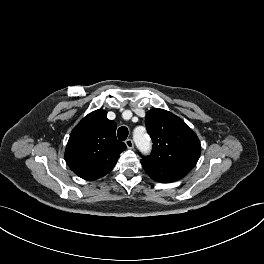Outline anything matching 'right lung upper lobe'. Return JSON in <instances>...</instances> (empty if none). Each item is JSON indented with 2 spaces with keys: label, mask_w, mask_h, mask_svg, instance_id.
<instances>
[{
  "label": "right lung upper lobe",
  "mask_w": 264,
  "mask_h": 264,
  "mask_svg": "<svg viewBox=\"0 0 264 264\" xmlns=\"http://www.w3.org/2000/svg\"><path fill=\"white\" fill-rule=\"evenodd\" d=\"M125 149L116 138V123L108 120L105 110H96L72 130L65 159L75 174L92 181L109 173Z\"/></svg>",
  "instance_id": "right-lung-upper-lobe-1"
}]
</instances>
